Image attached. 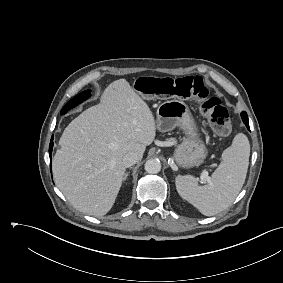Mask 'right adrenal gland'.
Here are the masks:
<instances>
[{"label": "right adrenal gland", "instance_id": "2a0ac1e0", "mask_svg": "<svg viewBox=\"0 0 283 283\" xmlns=\"http://www.w3.org/2000/svg\"><path fill=\"white\" fill-rule=\"evenodd\" d=\"M127 176H128V172L125 174V176H124V180H126Z\"/></svg>", "mask_w": 283, "mask_h": 283}]
</instances>
